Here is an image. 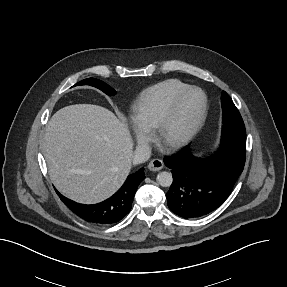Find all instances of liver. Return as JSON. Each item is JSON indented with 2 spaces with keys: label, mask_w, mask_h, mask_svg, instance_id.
Here are the masks:
<instances>
[{
  "label": "liver",
  "mask_w": 287,
  "mask_h": 287,
  "mask_svg": "<svg viewBox=\"0 0 287 287\" xmlns=\"http://www.w3.org/2000/svg\"><path fill=\"white\" fill-rule=\"evenodd\" d=\"M42 149L56 188L84 204L114 194L130 173L134 154L127 125L91 104L58 110L48 122Z\"/></svg>",
  "instance_id": "1"
}]
</instances>
